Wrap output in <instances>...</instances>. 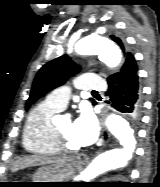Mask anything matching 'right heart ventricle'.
I'll return each instance as SVG.
<instances>
[{
	"mask_svg": "<svg viewBox=\"0 0 160 187\" xmlns=\"http://www.w3.org/2000/svg\"><path fill=\"white\" fill-rule=\"evenodd\" d=\"M61 109L47 100L40 102L29 112L22 135L26 152L37 156H55L60 152L53 135V116Z\"/></svg>",
	"mask_w": 160,
	"mask_h": 187,
	"instance_id": "obj_1",
	"label": "right heart ventricle"
}]
</instances>
